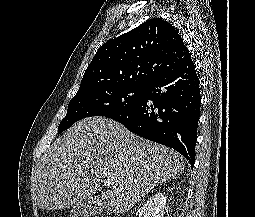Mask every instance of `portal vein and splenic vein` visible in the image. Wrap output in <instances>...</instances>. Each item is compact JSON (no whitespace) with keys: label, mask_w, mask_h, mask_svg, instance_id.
<instances>
[{"label":"portal vein and splenic vein","mask_w":255,"mask_h":217,"mask_svg":"<svg viewBox=\"0 0 255 217\" xmlns=\"http://www.w3.org/2000/svg\"><path fill=\"white\" fill-rule=\"evenodd\" d=\"M104 185H106L107 187H109L111 185L109 180H104L103 181Z\"/></svg>","instance_id":"1"}]
</instances>
